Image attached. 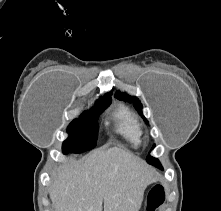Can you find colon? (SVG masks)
Instances as JSON below:
<instances>
[{
	"mask_svg": "<svg viewBox=\"0 0 221 211\" xmlns=\"http://www.w3.org/2000/svg\"><path fill=\"white\" fill-rule=\"evenodd\" d=\"M165 200V189L163 185H155L148 193L147 211H155Z\"/></svg>",
	"mask_w": 221,
	"mask_h": 211,
	"instance_id": "colon-1",
	"label": "colon"
}]
</instances>
